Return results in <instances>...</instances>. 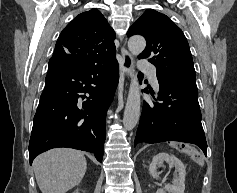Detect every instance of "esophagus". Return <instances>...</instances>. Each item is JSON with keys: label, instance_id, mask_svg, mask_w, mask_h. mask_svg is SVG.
<instances>
[{"label": "esophagus", "instance_id": "esophagus-1", "mask_svg": "<svg viewBox=\"0 0 237 193\" xmlns=\"http://www.w3.org/2000/svg\"><path fill=\"white\" fill-rule=\"evenodd\" d=\"M122 63L120 65V73L128 80L131 77L133 69V58L130 52L125 48H121Z\"/></svg>", "mask_w": 237, "mask_h": 193}]
</instances>
